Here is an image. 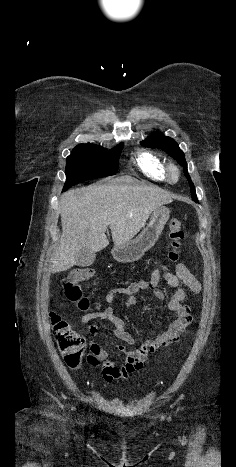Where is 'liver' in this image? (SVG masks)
<instances>
[{"mask_svg":"<svg viewBox=\"0 0 236 467\" xmlns=\"http://www.w3.org/2000/svg\"><path fill=\"white\" fill-rule=\"evenodd\" d=\"M172 202L169 192L122 176L102 185L69 190L60 199L62 235L50 260V271H66L76 264L79 250L95 253L108 246L111 229L115 245L130 241L159 206Z\"/></svg>","mask_w":236,"mask_h":467,"instance_id":"liver-1","label":"liver"}]
</instances>
